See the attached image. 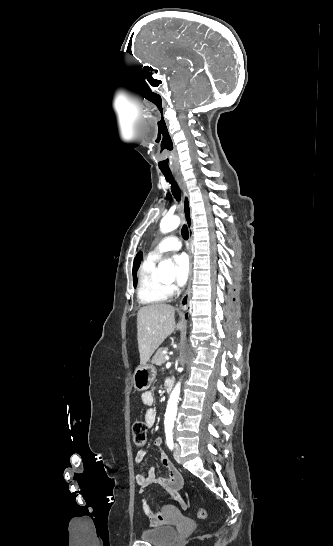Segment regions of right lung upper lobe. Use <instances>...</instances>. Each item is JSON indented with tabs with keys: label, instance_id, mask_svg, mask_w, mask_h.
<instances>
[{
	"label": "right lung upper lobe",
	"instance_id": "1",
	"mask_svg": "<svg viewBox=\"0 0 333 546\" xmlns=\"http://www.w3.org/2000/svg\"><path fill=\"white\" fill-rule=\"evenodd\" d=\"M141 260H142V253L139 252V253L136 255L135 259H134V264H138V267H139V264H140Z\"/></svg>",
	"mask_w": 333,
	"mask_h": 546
}]
</instances>
